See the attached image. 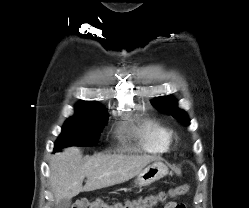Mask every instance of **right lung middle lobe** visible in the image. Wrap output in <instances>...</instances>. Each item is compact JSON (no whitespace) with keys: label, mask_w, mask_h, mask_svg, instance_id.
<instances>
[{"label":"right lung middle lobe","mask_w":249,"mask_h":208,"mask_svg":"<svg viewBox=\"0 0 249 208\" xmlns=\"http://www.w3.org/2000/svg\"><path fill=\"white\" fill-rule=\"evenodd\" d=\"M108 121L107 112L76 109L62 127L54 152L67 146H92L97 143L102 128Z\"/></svg>","instance_id":"1"}]
</instances>
